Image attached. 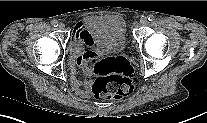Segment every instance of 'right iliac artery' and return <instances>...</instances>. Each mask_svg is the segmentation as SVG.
<instances>
[{
  "instance_id": "82829eb1",
  "label": "right iliac artery",
  "mask_w": 207,
  "mask_h": 123,
  "mask_svg": "<svg viewBox=\"0 0 207 123\" xmlns=\"http://www.w3.org/2000/svg\"><path fill=\"white\" fill-rule=\"evenodd\" d=\"M52 25H53L54 27H57V26H58V21H57V20H53V21H52Z\"/></svg>"
}]
</instances>
